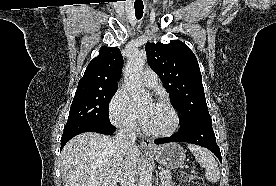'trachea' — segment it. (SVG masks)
Listing matches in <instances>:
<instances>
[{"label":"trachea","instance_id":"trachea-1","mask_svg":"<svg viewBox=\"0 0 276 186\" xmlns=\"http://www.w3.org/2000/svg\"><path fill=\"white\" fill-rule=\"evenodd\" d=\"M134 8H135V15L138 20H140L143 16V9L144 5L142 1H136L134 2Z\"/></svg>","mask_w":276,"mask_h":186}]
</instances>
